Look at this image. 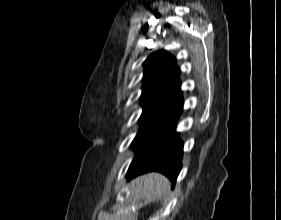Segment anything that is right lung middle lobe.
Wrapping results in <instances>:
<instances>
[{"label":"right lung middle lobe","instance_id":"obj_1","mask_svg":"<svg viewBox=\"0 0 281 220\" xmlns=\"http://www.w3.org/2000/svg\"><path fill=\"white\" fill-rule=\"evenodd\" d=\"M141 127L131 144L136 151L135 157L142 152L171 122L163 118H141Z\"/></svg>","mask_w":281,"mask_h":220}]
</instances>
